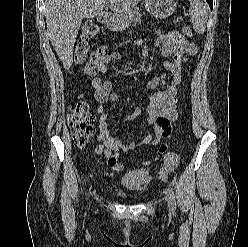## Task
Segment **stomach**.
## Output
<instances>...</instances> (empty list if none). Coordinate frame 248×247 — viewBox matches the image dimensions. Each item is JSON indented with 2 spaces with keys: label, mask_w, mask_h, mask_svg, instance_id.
I'll return each instance as SVG.
<instances>
[{
  "label": "stomach",
  "mask_w": 248,
  "mask_h": 247,
  "mask_svg": "<svg viewBox=\"0 0 248 247\" xmlns=\"http://www.w3.org/2000/svg\"><path fill=\"white\" fill-rule=\"evenodd\" d=\"M144 3L147 11L160 18L168 17L176 9L174 0H144ZM130 13H133V11ZM130 13L115 16L107 23V27L113 31L124 30L130 23L128 17Z\"/></svg>",
  "instance_id": "1"
}]
</instances>
